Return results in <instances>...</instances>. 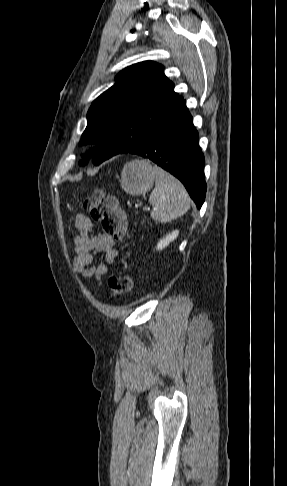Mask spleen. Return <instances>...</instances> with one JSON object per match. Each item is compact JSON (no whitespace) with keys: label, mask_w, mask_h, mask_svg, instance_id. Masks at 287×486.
Returning <instances> with one entry per match:
<instances>
[{"label":"spleen","mask_w":287,"mask_h":486,"mask_svg":"<svg viewBox=\"0 0 287 486\" xmlns=\"http://www.w3.org/2000/svg\"><path fill=\"white\" fill-rule=\"evenodd\" d=\"M156 176L155 188L149 196L153 206L151 218L167 223L185 214L190 208V197L183 184L158 166L153 167Z\"/></svg>","instance_id":"obj_1"}]
</instances>
